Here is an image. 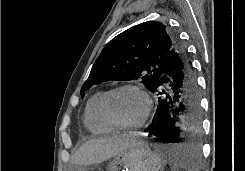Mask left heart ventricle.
Returning a JSON list of instances; mask_svg holds the SVG:
<instances>
[{"label":"left heart ventricle","mask_w":245,"mask_h":171,"mask_svg":"<svg viewBox=\"0 0 245 171\" xmlns=\"http://www.w3.org/2000/svg\"><path fill=\"white\" fill-rule=\"evenodd\" d=\"M108 110L119 123L133 124L142 118L145 101L139 92L126 89L111 96L108 102Z\"/></svg>","instance_id":"obj_1"}]
</instances>
